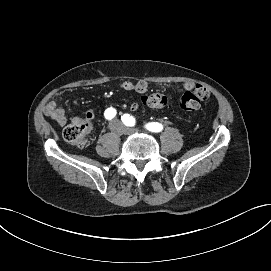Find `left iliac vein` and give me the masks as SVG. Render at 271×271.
<instances>
[{
	"label": "left iliac vein",
	"mask_w": 271,
	"mask_h": 271,
	"mask_svg": "<svg viewBox=\"0 0 271 271\" xmlns=\"http://www.w3.org/2000/svg\"><path fill=\"white\" fill-rule=\"evenodd\" d=\"M137 130L136 129H133V128H126V133L128 134H133V133H136Z\"/></svg>",
	"instance_id": "left-iliac-vein-1"
}]
</instances>
